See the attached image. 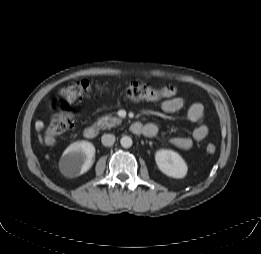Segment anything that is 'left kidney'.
Returning a JSON list of instances; mask_svg holds the SVG:
<instances>
[{"mask_svg":"<svg viewBox=\"0 0 261 254\" xmlns=\"http://www.w3.org/2000/svg\"><path fill=\"white\" fill-rule=\"evenodd\" d=\"M155 161L159 170L173 178L186 176L188 167L183 158L172 150H159L155 154Z\"/></svg>","mask_w":261,"mask_h":254,"instance_id":"5707ae66","label":"left kidney"}]
</instances>
